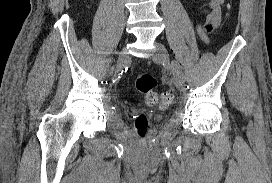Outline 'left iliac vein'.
<instances>
[{"mask_svg": "<svg viewBox=\"0 0 272 183\" xmlns=\"http://www.w3.org/2000/svg\"><path fill=\"white\" fill-rule=\"evenodd\" d=\"M155 52L152 55V59L154 62L159 63V64H163L165 67L169 68L170 67V60H169V54L168 51L166 49V47L161 44L156 42L155 43ZM182 82H180L177 78L175 79V85L177 87V89L179 91H184L185 90V86L181 84Z\"/></svg>", "mask_w": 272, "mask_h": 183, "instance_id": "left-iliac-vein-1", "label": "left iliac vein"}]
</instances>
